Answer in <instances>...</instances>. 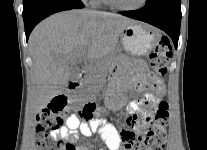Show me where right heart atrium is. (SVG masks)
<instances>
[{
	"label": "right heart atrium",
	"mask_w": 207,
	"mask_h": 150,
	"mask_svg": "<svg viewBox=\"0 0 207 150\" xmlns=\"http://www.w3.org/2000/svg\"><path fill=\"white\" fill-rule=\"evenodd\" d=\"M85 1H91L93 3L94 0H85Z\"/></svg>",
	"instance_id": "obj_1"
}]
</instances>
